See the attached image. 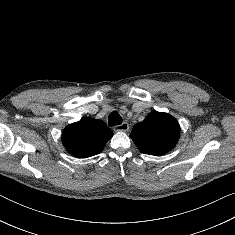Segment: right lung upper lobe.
<instances>
[{
	"label": "right lung upper lobe",
	"instance_id": "right-lung-upper-lobe-1",
	"mask_svg": "<svg viewBox=\"0 0 235 235\" xmlns=\"http://www.w3.org/2000/svg\"><path fill=\"white\" fill-rule=\"evenodd\" d=\"M113 132L102 120L82 118L67 126L62 133L66 150L79 158H87L102 152Z\"/></svg>",
	"mask_w": 235,
	"mask_h": 235
}]
</instances>
